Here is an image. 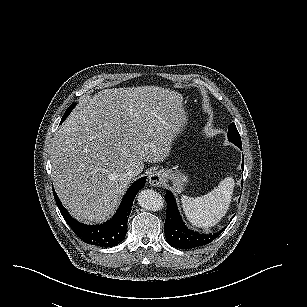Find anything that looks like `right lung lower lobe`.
<instances>
[{"label": "right lung lower lobe", "mask_w": 307, "mask_h": 307, "mask_svg": "<svg viewBox=\"0 0 307 307\" xmlns=\"http://www.w3.org/2000/svg\"><path fill=\"white\" fill-rule=\"evenodd\" d=\"M146 178L147 177H142L131 185L123 197L119 209L113 218L99 226H88L79 223L77 220L72 218L67 210L62 206L53 189L54 197L63 218L80 239L91 245L113 247L121 243L126 236L127 221L131 212L134 197L136 193L144 187Z\"/></svg>", "instance_id": "98d812e1"}]
</instances>
